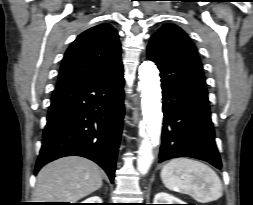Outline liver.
I'll return each mask as SVG.
<instances>
[{"label": "liver", "instance_id": "1", "mask_svg": "<svg viewBox=\"0 0 253 205\" xmlns=\"http://www.w3.org/2000/svg\"><path fill=\"white\" fill-rule=\"evenodd\" d=\"M102 171L93 161L72 156L55 160L37 175L34 193L38 202L75 203L98 190Z\"/></svg>", "mask_w": 253, "mask_h": 205}]
</instances>
